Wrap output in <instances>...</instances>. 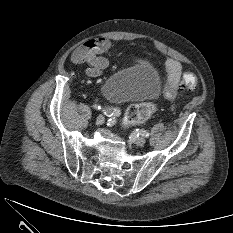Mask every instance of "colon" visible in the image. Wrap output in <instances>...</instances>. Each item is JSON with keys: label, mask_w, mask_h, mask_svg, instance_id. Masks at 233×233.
<instances>
[{"label": "colon", "mask_w": 233, "mask_h": 233, "mask_svg": "<svg viewBox=\"0 0 233 233\" xmlns=\"http://www.w3.org/2000/svg\"><path fill=\"white\" fill-rule=\"evenodd\" d=\"M90 54L94 53V47H89ZM197 79L194 74L186 72L182 77L181 87L185 90H194ZM156 111V105L151 102L131 105L125 115V121L129 125L139 124L146 121Z\"/></svg>", "instance_id": "colon-1"}]
</instances>
